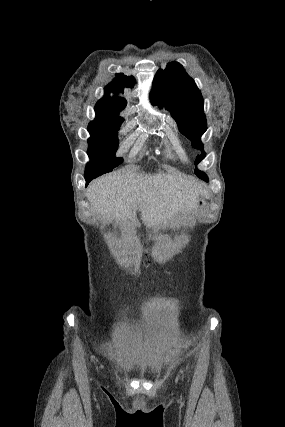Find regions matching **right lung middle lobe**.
Here are the masks:
<instances>
[{"mask_svg": "<svg viewBox=\"0 0 285 427\" xmlns=\"http://www.w3.org/2000/svg\"><path fill=\"white\" fill-rule=\"evenodd\" d=\"M121 124L110 126H88L91 137L88 139V155L91 160L86 166L85 175H102L111 172L122 163L116 158L118 148L117 131Z\"/></svg>", "mask_w": 285, "mask_h": 427, "instance_id": "dd1d6c3e", "label": "right lung middle lobe"}]
</instances>
